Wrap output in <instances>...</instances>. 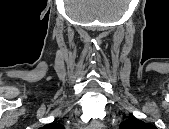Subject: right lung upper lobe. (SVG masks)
Returning <instances> with one entry per match:
<instances>
[{"mask_svg": "<svg viewBox=\"0 0 169 129\" xmlns=\"http://www.w3.org/2000/svg\"><path fill=\"white\" fill-rule=\"evenodd\" d=\"M43 128L45 129H61L63 128V126L61 124H57V123H50L45 125Z\"/></svg>", "mask_w": 169, "mask_h": 129, "instance_id": "obj_1", "label": "right lung upper lobe"}]
</instances>
